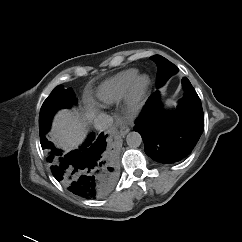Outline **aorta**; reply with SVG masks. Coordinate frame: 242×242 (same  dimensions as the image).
Returning <instances> with one entry per match:
<instances>
[{
	"instance_id": "aorta-1",
	"label": "aorta",
	"mask_w": 242,
	"mask_h": 242,
	"mask_svg": "<svg viewBox=\"0 0 242 242\" xmlns=\"http://www.w3.org/2000/svg\"><path fill=\"white\" fill-rule=\"evenodd\" d=\"M126 142L129 147L137 148L142 143V137L138 132L133 131L126 136Z\"/></svg>"
}]
</instances>
